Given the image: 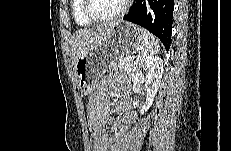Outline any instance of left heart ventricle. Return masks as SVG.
Wrapping results in <instances>:
<instances>
[{"label": "left heart ventricle", "instance_id": "b2bd125f", "mask_svg": "<svg viewBox=\"0 0 231 151\" xmlns=\"http://www.w3.org/2000/svg\"><path fill=\"white\" fill-rule=\"evenodd\" d=\"M124 0H91V12L97 17L110 16L117 13Z\"/></svg>", "mask_w": 231, "mask_h": 151}]
</instances>
